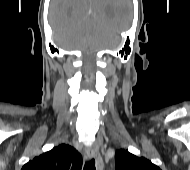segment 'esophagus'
<instances>
[{"instance_id": "1", "label": "esophagus", "mask_w": 190, "mask_h": 170, "mask_svg": "<svg viewBox=\"0 0 190 170\" xmlns=\"http://www.w3.org/2000/svg\"><path fill=\"white\" fill-rule=\"evenodd\" d=\"M86 155L89 159H93V158L95 159L97 170H103L104 162H103V159H102L98 149L95 146L89 145L86 148Z\"/></svg>"}]
</instances>
